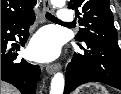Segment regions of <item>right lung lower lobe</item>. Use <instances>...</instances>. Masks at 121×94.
Instances as JSON below:
<instances>
[{"label":"right lung lower lobe","mask_w":121,"mask_h":94,"mask_svg":"<svg viewBox=\"0 0 121 94\" xmlns=\"http://www.w3.org/2000/svg\"><path fill=\"white\" fill-rule=\"evenodd\" d=\"M35 21L34 11L1 22V80L17 87L22 94H35L36 82L40 75V67L31 65L25 60L17 61V53L7 52V41L20 38V45L24 46L29 36V26ZM20 45L14 44L16 51Z\"/></svg>","instance_id":"1"}]
</instances>
